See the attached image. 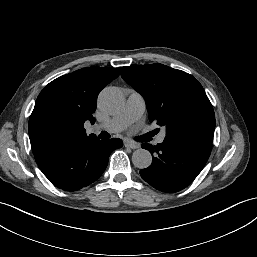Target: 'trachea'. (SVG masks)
Masks as SVG:
<instances>
[{
  "label": "trachea",
  "instance_id": "obj_1",
  "mask_svg": "<svg viewBox=\"0 0 257 257\" xmlns=\"http://www.w3.org/2000/svg\"><path fill=\"white\" fill-rule=\"evenodd\" d=\"M99 137H100L101 139H108V138H110V134L107 133L106 131H102V132L100 133Z\"/></svg>",
  "mask_w": 257,
  "mask_h": 257
}]
</instances>
